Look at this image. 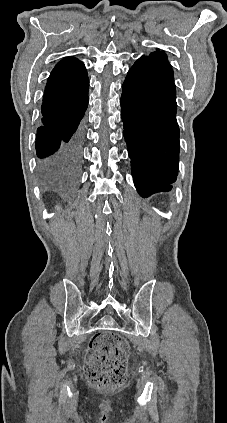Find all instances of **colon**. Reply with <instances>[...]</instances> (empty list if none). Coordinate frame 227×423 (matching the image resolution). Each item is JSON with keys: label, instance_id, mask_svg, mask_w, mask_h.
I'll return each instance as SVG.
<instances>
[{"label": "colon", "instance_id": "obj_1", "mask_svg": "<svg viewBox=\"0 0 227 423\" xmlns=\"http://www.w3.org/2000/svg\"><path fill=\"white\" fill-rule=\"evenodd\" d=\"M128 344L118 334L101 331L89 344L86 373L89 383L100 389L121 386L127 375Z\"/></svg>", "mask_w": 227, "mask_h": 423}]
</instances>
